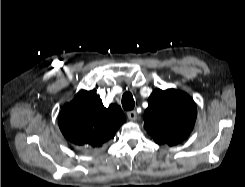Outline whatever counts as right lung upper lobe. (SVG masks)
<instances>
[{
	"label": "right lung upper lobe",
	"mask_w": 245,
	"mask_h": 187,
	"mask_svg": "<svg viewBox=\"0 0 245 187\" xmlns=\"http://www.w3.org/2000/svg\"><path fill=\"white\" fill-rule=\"evenodd\" d=\"M126 122L116 104L104 107L100 97L92 91H80L64 105L58 123L65 138L83 149H96L113 139L118 128Z\"/></svg>",
	"instance_id": "cb5924a9"
}]
</instances>
